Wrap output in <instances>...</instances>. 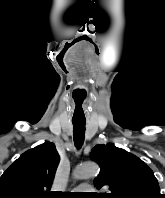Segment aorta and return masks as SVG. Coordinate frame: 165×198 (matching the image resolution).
Returning a JSON list of instances; mask_svg holds the SVG:
<instances>
[{"label": "aorta", "instance_id": "aorta-1", "mask_svg": "<svg viewBox=\"0 0 165 198\" xmlns=\"http://www.w3.org/2000/svg\"><path fill=\"white\" fill-rule=\"evenodd\" d=\"M99 173L98 165L94 163H84L78 165L73 171V178L77 180L87 179Z\"/></svg>", "mask_w": 165, "mask_h": 198}]
</instances>
